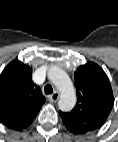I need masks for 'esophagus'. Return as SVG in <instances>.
<instances>
[{
    "mask_svg": "<svg viewBox=\"0 0 118 142\" xmlns=\"http://www.w3.org/2000/svg\"><path fill=\"white\" fill-rule=\"evenodd\" d=\"M59 92H54L53 94H51L50 96H49V100L51 101V102H56V101H58V99H59Z\"/></svg>",
    "mask_w": 118,
    "mask_h": 142,
    "instance_id": "34e87169",
    "label": "esophagus"
}]
</instances>
